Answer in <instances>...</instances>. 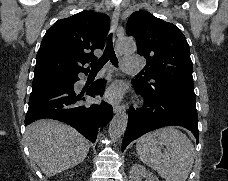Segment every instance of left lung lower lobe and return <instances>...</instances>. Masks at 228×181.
Listing matches in <instances>:
<instances>
[{"label": "left lung lower lobe", "instance_id": "obj_1", "mask_svg": "<svg viewBox=\"0 0 228 181\" xmlns=\"http://www.w3.org/2000/svg\"><path fill=\"white\" fill-rule=\"evenodd\" d=\"M135 90L144 97V106L129 109L122 151L127 145L144 135L165 126H182L190 130L198 142V116L195 97L168 90L165 87L143 88L132 82Z\"/></svg>", "mask_w": 228, "mask_h": 181}]
</instances>
